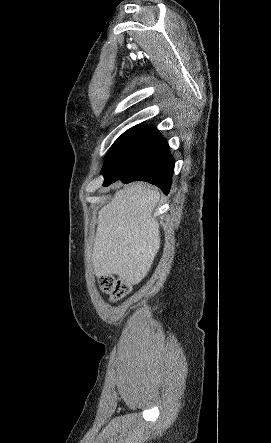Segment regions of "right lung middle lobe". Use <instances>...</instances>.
Instances as JSON below:
<instances>
[{"instance_id": "dd1d6c3e", "label": "right lung middle lobe", "mask_w": 271, "mask_h": 443, "mask_svg": "<svg viewBox=\"0 0 271 443\" xmlns=\"http://www.w3.org/2000/svg\"><path fill=\"white\" fill-rule=\"evenodd\" d=\"M135 128H136V126L127 130L113 143V145L109 149L108 154L106 156L104 166H103V171L106 170L107 168H109L112 165V163L115 161V159L117 158L125 141L131 135V133L134 131Z\"/></svg>"}]
</instances>
